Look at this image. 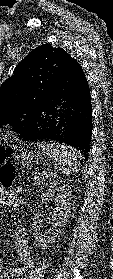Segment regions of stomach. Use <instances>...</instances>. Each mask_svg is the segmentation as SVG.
<instances>
[{"label": "stomach", "mask_w": 113, "mask_h": 279, "mask_svg": "<svg viewBox=\"0 0 113 279\" xmlns=\"http://www.w3.org/2000/svg\"><path fill=\"white\" fill-rule=\"evenodd\" d=\"M22 165L32 166L33 163H38L40 160L39 154H34L33 151L21 150L17 157Z\"/></svg>", "instance_id": "0dacf381"}]
</instances>
